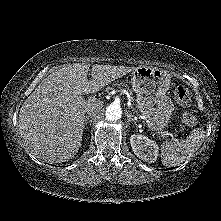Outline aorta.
Returning <instances> with one entry per match:
<instances>
[{
    "mask_svg": "<svg viewBox=\"0 0 221 221\" xmlns=\"http://www.w3.org/2000/svg\"><path fill=\"white\" fill-rule=\"evenodd\" d=\"M122 116V109L119 105L110 104L106 108V118L110 121L119 120Z\"/></svg>",
    "mask_w": 221,
    "mask_h": 221,
    "instance_id": "762f6f07",
    "label": "aorta"
}]
</instances>
